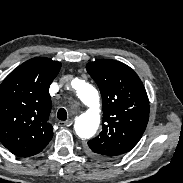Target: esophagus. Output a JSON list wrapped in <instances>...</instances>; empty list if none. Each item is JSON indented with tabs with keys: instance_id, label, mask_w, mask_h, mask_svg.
<instances>
[{
	"instance_id": "esophagus-1",
	"label": "esophagus",
	"mask_w": 183,
	"mask_h": 183,
	"mask_svg": "<svg viewBox=\"0 0 183 183\" xmlns=\"http://www.w3.org/2000/svg\"><path fill=\"white\" fill-rule=\"evenodd\" d=\"M73 123V120H67V121H59V126L61 127H68Z\"/></svg>"
}]
</instances>
